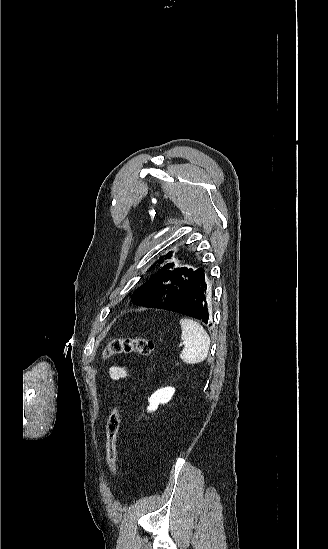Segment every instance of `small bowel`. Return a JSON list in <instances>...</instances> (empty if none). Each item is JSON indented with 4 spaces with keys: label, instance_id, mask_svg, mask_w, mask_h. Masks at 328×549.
<instances>
[{
    "label": "small bowel",
    "instance_id": "1",
    "mask_svg": "<svg viewBox=\"0 0 328 549\" xmlns=\"http://www.w3.org/2000/svg\"><path fill=\"white\" fill-rule=\"evenodd\" d=\"M109 375L112 380H122L128 377V371L121 366H112L109 369Z\"/></svg>",
    "mask_w": 328,
    "mask_h": 549
}]
</instances>
